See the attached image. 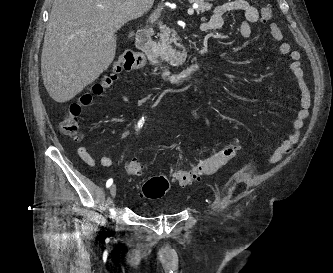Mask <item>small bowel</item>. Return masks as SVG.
<instances>
[{
	"label": "small bowel",
	"mask_w": 333,
	"mask_h": 273,
	"mask_svg": "<svg viewBox=\"0 0 333 273\" xmlns=\"http://www.w3.org/2000/svg\"><path fill=\"white\" fill-rule=\"evenodd\" d=\"M241 12L244 20L239 24L238 32L243 38H249L252 35V25L260 20L261 12L255 7L250 6L246 0H228L219 4L213 15L201 25L202 31H209L220 29L223 27L226 17L230 12ZM270 32L273 38L279 42V50L282 54H287L292 60L290 70L295 76L296 84L299 90V104L300 108L297 111L296 117L292 122V129L287 138L275 150L270 158L271 163L278 162L285 155L293 149L294 145L300 139V130L303 127L304 120L308 117V108L310 106V92L306 84L303 74L302 66L300 63V53L292 50L288 42L284 41L283 35L279 27L272 23L270 25ZM79 157L88 165L94 164V159L89 154L85 146H80L77 150ZM99 163L104 167H110L113 164L111 157L101 155ZM139 176V175H137Z\"/></svg>",
	"instance_id": "small-bowel-1"
}]
</instances>
